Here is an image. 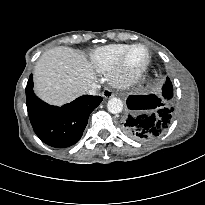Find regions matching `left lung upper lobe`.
<instances>
[{
    "label": "left lung upper lobe",
    "instance_id": "obj_1",
    "mask_svg": "<svg viewBox=\"0 0 205 205\" xmlns=\"http://www.w3.org/2000/svg\"><path fill=\"white\" fill-rule=\"evenodd\" d=\"M162 96H165L166 100L164 99V97L162 99H164L168 103H172L173 87H172V83L168 77L166 78V83L162 87Z\"/></svg>",
    "mask_w": 205,
    "mask_h": 205
}]
</instances>
